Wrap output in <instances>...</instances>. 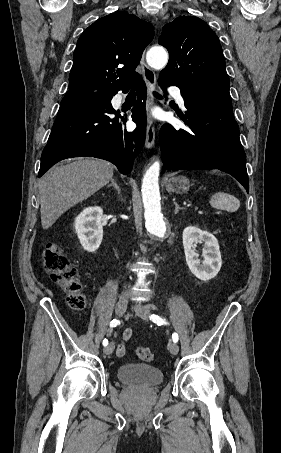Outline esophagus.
I'll return each instance as SVG.
<instances>
[{
  "instance_id": "esophagus-1",
  "label": "esophagus",
  "mask_w": 281,
  "mask_h": 453,
  "mask_svg": "<svg viewBox=\"0 0 281 453\" xmlns=\"http://www.w3.org/2000/svg\"><path fill=\"white\" fill-rule=\"evenodd\" d=\"M153 23H155L154 20H153ZM140 64H141L142 71H143V77L145 79V82L147 84L148 91H149L150 97H149V102H148V108L150 109L153 105V96L151 95V91L154 90L156 87V75H155V72L152 70V68H150L146 64L144 55L142 56ZM154 142H155V126H154L153 119L151 118L150 115H148L145 147L153 148Z\"/></svg>"
}]
</instances>
